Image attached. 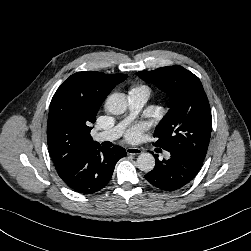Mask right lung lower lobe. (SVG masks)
Instances as JSON below:
<instances>
[{"mask_svg": "<svg viewBox=\"0 0 251 251\" xmlns=\"http://www.w3.org/2000/svg\"><path fill=\"white\" fill-rule=\"evenodd\" d=\"M125 156L126 151L120 146L108 149L100 145L91 146L82 151L59 176L74 191L92 194L108 184L117 161Z\"/></svg>", "mask_w": 251, "mask_h": 251, "instance_id": "right-lung-lower-lobe-1", "label": "right lung lower lobe"}]
</instances>
